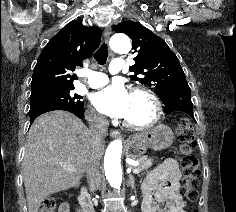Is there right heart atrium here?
I'll return each mask as SVG.
<instances>
[{"instance_id":"d8ad5b80","label":"right heart atrium","mask_w":236,"mask_h":212,"mask_svg":"<svg viewBox=\"0 0 236 212\" xmlns=\"http://www.w3.org/2000/svg\"><path fill=\"white\" fill-rule=\"evenodd\" d=\"M87 119L89 122L97 125H102L105 123L104 117L92 108L87 112Z\"/></svg>"}]
</instances>
